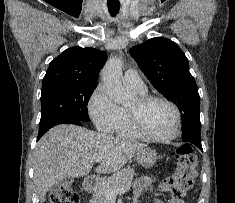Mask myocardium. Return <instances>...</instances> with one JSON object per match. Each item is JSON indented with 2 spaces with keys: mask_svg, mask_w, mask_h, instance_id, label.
<instances>
[{
  "mask_svg": "<svg viewBox=\"0 0 235 203\" xmlns=\"http://www.w3.org/2000/svg\"><path fill=\"white\" fill-rule=\"evenodd\" d=\"M136 100H137V107L136 108L127 107L126 111H127V116H128V120H129L131 128L140 138H143L152 142L166 143V142H170L176 139L179 136L181 132V127H182V117H181V113H180L178 106L173 101L163 96L148 95V94L140 95L136 98ZM157 101L166 103L168 106L171 107V109L173 110L175 114V129L172 132V134L168 136H164V137L154 136L148 133L144 129L141 123L140 109L152 102H157Z\"/></svg>",
  "mask_w": 235,
  "mask_h": 203,
  "instance_id": "f54148a6",
  "label": "myocardium"
}]
</instances>
